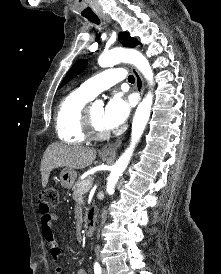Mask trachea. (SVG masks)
I'll list each match as a JSON object with an SVG mask.
<instances>
[{
  "mask_svg": "<svg viewBox=\"0 0 221 274\" xmlns=\"http://www.w3.org/2000/svg\"><path fill=\"white\" fill-rule=\"evenodd\" d=\"M87 19H88L89 21L95 23V24H100V20H99V18H98L97 16L87 17ZM128 81H129L130 83H134V82H135L134 76H133V75H130V76L128 77Z\"/></svg>",
  "mask_w": 221,
  "mask_h": 274,
  "instance_id": "1",
  "label": "trachea"
}]
</instances>
